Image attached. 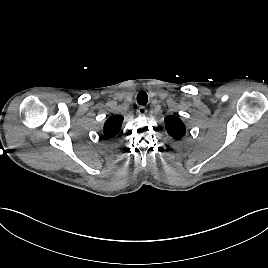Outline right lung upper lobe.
Returning <instances> with one entry per match:
<instances>
[{
    "label": "right lung upper lobe",
    "mask_w": 268,
    "mask_h": 268,
    "mask_svg": "<svg viewBox=\"0 0 268 268\" xmlns=\"http://www.w3.org/2000/svg\"><path fill=\"white\" fill-rule=\"evenodd\" d=\"M123 116L113 115L109 117L104 124V135L106 138L115 137L121 129Z\"/></svg>",
    "instance_id": "1"
}]
</instances>
